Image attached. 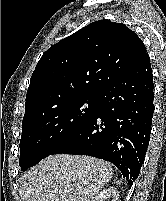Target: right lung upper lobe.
I'll list each match as a JSON object with an SVG mask.
<instances>
[{"mask_svg":"<svg viewBox=\"0 0 166 201\" xmlns=\"http://www.w3.org/2000/svg\"><path fill=\"white\" fill-rule=\"evenodd\" d=\"M145 54L144 43L124 24L105 19L90 23L42 55L31 76L24 117L98 96Z\"/></svg>","mask_w":166,"mask_h":201,"instance_id":"cb5924a9","label":"right lung upper lobe"}]
</instances>
